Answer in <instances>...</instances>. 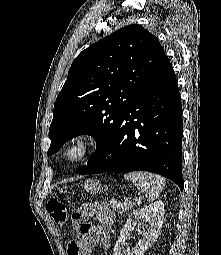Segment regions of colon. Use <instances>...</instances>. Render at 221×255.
<instances>
[{"instance_id":"5ec220e1","label":"colon","mask_w":221,"mask_h":255,"mask_svg":"<svg viewBox=\"0 0 221 255\" xmlns=\"http://www.w3.org/2000/svg\"><path fill=\"white\" fill-rule=\"evenodd\" d=\"M47 210L54 222L59 226H65L68 222V212L63 203L58 200L52 199L47 203ZM92 205L86 204L81 206L71 216V222L76 229L83 230L86 221L91 217Z\"/></svg>"}]
</instances>
